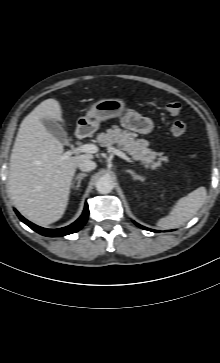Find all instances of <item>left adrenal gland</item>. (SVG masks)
Masks as SVG:
<instances>
[{"instance_id":"1","label":"left adrenal gland","mask_w":220,"mask_h":363,"mask_svg":"<svg viewBox=\"0 0 220 363\" xmlns=\"http://www.w3.org/2000/svg\"><path fill=\"white\" fill-rule=\"evenodd\" d=\"M127 173H129L133 179L137 180V179H141V177L139 175H137L133 170L131 169H127L126 170Z\"/></svg>"}]
</instances>
